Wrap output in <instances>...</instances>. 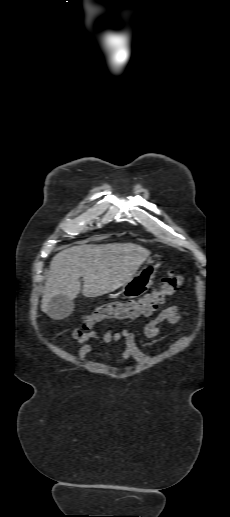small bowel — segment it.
Here are the masks:
<instances>
[{
	"label": "small bowel",
	"mask_w": 230,
	"mask_h": 517,
	"mask_svg": "<svg viewBox=\"0 0 230 517\" xmlns=\"http://www.w3.org/2000/svg\"><path fill=\"white\" fill-rule=\"evenodd\" d=\"M182 321V315L178 306H170L160 311L154 318L147 322L144 326L143 332L147 338H156L163 334L167 326L178 324ZM89 340L99 341L110 347L114 344L123 341L124 351L122 359H134L138 362H143L149 358L144 354L137 345L136 338L133 332L129 330H121L117 332L107 331L102 336L94 332H88L78 338L76 345H80L79 355L84 358L90 353L94 352L93 346L87 344ZM178 343L175 342L174 345Z\"/></svg>",
	"instance_id": "small-bowel-1"
}]
</instances>
